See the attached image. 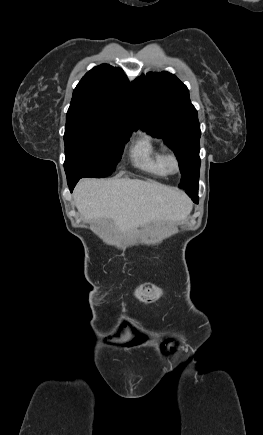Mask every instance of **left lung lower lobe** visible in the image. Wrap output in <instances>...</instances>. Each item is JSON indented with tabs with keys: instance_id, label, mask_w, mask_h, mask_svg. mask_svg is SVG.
I'll return each mask as SVG.
<instances>
[{
	"instance_id": "0a47b994",
	"label": "left lung lower lobe",
	"mask_w": 263,
	"mask_h": 435,
	"mask_svg": "<svg viewBox=\"0 0 263 435\" xmlns=\"http://www.w3.org/2000/svg\"><path fill=\"white\" fill-rule=\"evenodd\" d=\"M188 196L193 200L194 203L198 204L199 198H198V187L193 189H185Z\"/></svg>"
}]
</instances>
